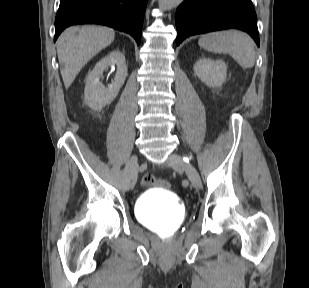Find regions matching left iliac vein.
<instances>
[{
    "instance_id": "1",
    "label": "left iliac vein",
    "mask_w": 309,
    "mask_h": 288,
    "mask_svg": "<svg viewBox=\"0 0 309 288\" xmlns=\"http://www.w3.org/2000/svg\"><path fill=\"white\" fill-rule=\"evenodd\" d=\"M168 163L176 170H185L187 177L191 181L194 187H201V179L196 168L189 162L184 161L183 157L178 154H171L168 159Z\"/></svg>"
}]
</instances>
